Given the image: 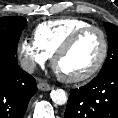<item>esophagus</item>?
I'll return each mask as SVG.
<instances>
[{
  "mask_svg": "<svg viewBox=\"0 0 118 118\" xmlns=\"http://www.w3.org/2000/svg\"><path fill=\"white\" fill-rule=\"evenodd\" d=\"M37 86H38V89L42 91H49L53 89V87L49 85L47 82H45L43 79H38Z\"/></svg>",
  "mask_w": 118,
  "mask_h": 118,
  "instance_id": "obj_1",
  "label": "esophagus"
}]
</instances>
